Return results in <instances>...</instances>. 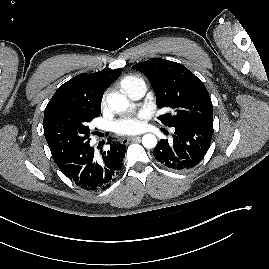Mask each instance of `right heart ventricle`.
<instances>
[{
	"label": "right heart ventricle",
	"instance_id": "right-heart-ventricle-1",
	"mask_svg": "<svg viewBox=\"0 0 269 269\" xmlns=\"http://www.w3.org/2000/svg\"><path fill=\"white\" fill-rule=\"evenodd\" d=\"M139 83H144L143 80L136 75H127L124 78L121 79L119 85L121 90L129 95L131 90Z\"/></svg>",
	"mask_w": 269,
	"mask_h": 269
}]
</instances>
